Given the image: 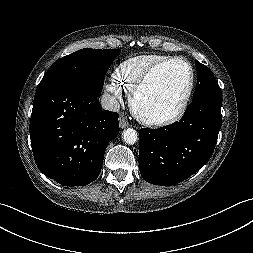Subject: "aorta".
<instances>
[{
	"instance_id": "1",
	"label": "aorta",
	"mask_w": 253,
	"mask_h": 253,
	"mask_svg": "<svg viewBox=\"0 0 253 253\" xmlns=\"http://www.w3.org/2000/svg\"><path fill=\"white\" fill-rule=\"evenodd\" d=\"M123 140L129 145L135 144L138 140V134L136 130L133 128L125 129L123 132Z\"/></svg>"
}]
</instances>
